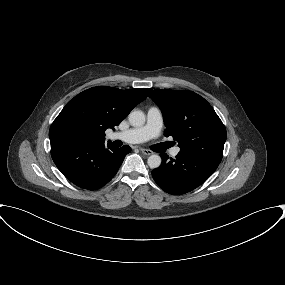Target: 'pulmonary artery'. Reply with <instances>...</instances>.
<instances>
[{
	"instance_id": "e3ab8cb5",
	"label": "pulmonary artery",
	"mask_w": 285,
	"mask_h": 285,
	"mask_svg": "<svg viewBox=\"0 0 285 285\" xmlns=\"http://www.w3.org/2000/svg\"><path fill=\"white\" fill-rule=\"evenodd\" d=\"M163 127V117L160 109L152 106L147 111L146 123L139 127L130 128L123 131L114 132L110 135L112 140H121L126 143H142L154 137H157ZM180 148L175 147L171 150L172 156H177Z\"/></svg>"
}]
</instances>
